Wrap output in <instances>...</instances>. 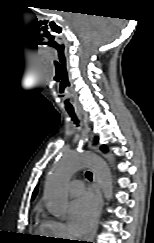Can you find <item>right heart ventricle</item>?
Instances as JSON below:
<instances>
[{"label":"right heart ventricle","instance_id":"obj_1","mask_svg":"<svg viewBox=\"0 0 154 243\" xmlns=\"http://www.w3.org/2000/svg\"><path fill=\"white\" fill-rule=\"evenodd\" d=\"M37 216H40V210H37ZM39 233L45 236H52L49 226H48V221L44 219H40V225H39Z\"/></svg>","mask_w":154,"mask_h":243}]
</instances>
